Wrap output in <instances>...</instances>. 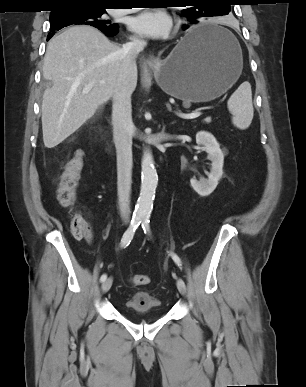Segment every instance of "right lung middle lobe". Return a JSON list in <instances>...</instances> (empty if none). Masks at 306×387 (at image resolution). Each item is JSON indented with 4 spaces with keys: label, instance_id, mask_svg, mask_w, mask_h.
<instances>
[{
    "label": "right lung middle lobe",
    "instance_id": "obj_1",
    "mask_svg": "<svg viewBox=\"0 0 306 387\" xmlns=\"http://www.w3.org/2000/svg\"><path fill=\"white\" fill-rule=\"evenodd\" d=\"M106 13L99 6H73L60 9L59 12L50 13L51 32L60 30L73 24H86L98 29L116 28L117 24H111L109 20H103L101 16Z\"/></svg>",
    "mask_w": 306,
    "mask_h": 387
}]
</instances>
